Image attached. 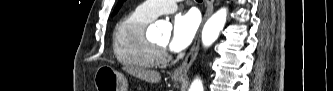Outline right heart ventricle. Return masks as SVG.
I'll return each mask as SVG.
<instances>
[{
  "instance_id": "1",
  "label": "right heart ventricle",
  "mask_w": 333,
  "mask_h": 91,
  "mask_svg": "<svg viewBox=\"0 0 333 91\" xmlns=\"http://www.w3.org/2000/svg\"><path fill=\"white\" fill-rule=\"evenodd\" d=\"M152 19L135 10L124 16L113 34V51L116 59L133 70L149 69L157 62L145 28Z\"/></svg>"
}]
</instances>
